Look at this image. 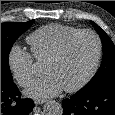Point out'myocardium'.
Returning <instances> with one entry per match:
<instances>
[{
	"label": "myocardium",
	"mask_w": 115,
	"mask_h": 115,
	"mask_svg": "<svg viewBox=\"0 0 115 115\" xmlns=\"http://www.w3.org/2000/svg\"><path fill=\"white\" fill-rule=\"evenodd\" d=\"M83 35H90L95 39L96 44H97V54H96L94 64H93L90 72L87 74V76L83 80H81L79 83H77L76 85L64 88V90L69 93L77 92V91L83 89L85 86H87L91 82V80L97 74L100 64H101V61H102V56H103V44H102V41H101V38L99 37V35L93 30H89V29L80 30V31L70 35L69 37H67L60 44V46L57 48V50L46 61V63H52V62H56V61L60 60L63 57V55L65 54V52L67 51V49L69 48V46L71 45V43L75 39H77L78 37L83 36Z\"/></svg>",
	"instance_id": "obj_1"
}]
</instances>
